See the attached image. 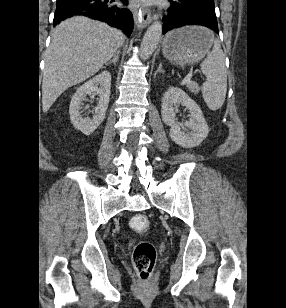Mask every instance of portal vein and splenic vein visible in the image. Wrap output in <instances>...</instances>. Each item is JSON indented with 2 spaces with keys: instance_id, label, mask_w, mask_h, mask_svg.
<instances>
[{
  "instance_id": "1",
  "label": "portal vein and splenic vein",
  "mask_w": 286,
  "mask_h": 308,
  "mask_svg": "<svg viewBox=\"0 0 286 308\" xmlns=\"http://www.w3.org/2000/svg\"><path fill=\"white\" fill-rule=\"evenodd\" d=\"M192 72H190L182 81L181 85H196L191 81Z\"/></svg>"
}]
</instances>
